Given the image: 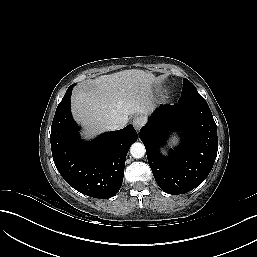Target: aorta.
<instances>
[{"label":"aorta","instance_id":"762f6f07","mask_svg":"<svg viewBox=\"0 0 257 257\" xmlns=\"http://www.w3.org/2000/svg\"><path fill=\"white\" fill-rule=\"evenodd\" d=\"M130 153H131L132 157H134L136 159H140V158L144 157V155L146 153L145 146L142 143L136 142L131 145Z\"/></svg>","mask_w":257,"mask_h":257}]
</instances>
